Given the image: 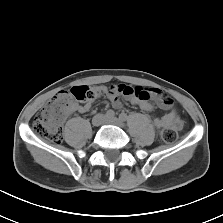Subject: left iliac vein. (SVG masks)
Listing matches in <instances>:
<instances>
[{"label":"left iliac vein","mask_w":223,"mask_h":223,"mask_svg":"<svg viewBox=\"0 0 223 223\" xmlns=\"http://www.w3.org/2000/svg\"><path fill=\"white\" fill-rule=\"evenodd\" d=\"M104 123L105 124H111V125H116L118 127H123L124 126V122L123 120L121 119H118L116 117H113V118H106L104 120Z\"/></svg>","instance_id":"1"}]
</instances>
